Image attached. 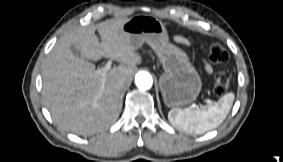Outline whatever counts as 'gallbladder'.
Instances as JSON below:
<instances>
[{"label":"gallbladder","instance_id":"1","mask_svg":"<svg viewBox=\"0 0 283 162\" xmlns=\"http://www.w3.org/2000/svg\"><path fill=\"white\" fill-rule=\"evenodd\" d=\"M70 49H71L72 53H73L75 56L81 57V53H80V51L76 48L75 45H71V46H70Z\"/></svg>","mask_w":283,"mask_h":162}]
</instances>
